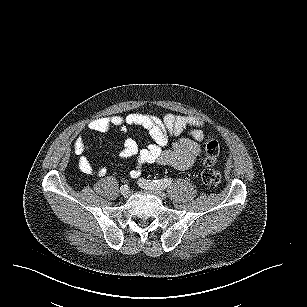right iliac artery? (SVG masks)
Here are the masks:
<instances>
[{"instance_id": "82829eb1", "label": "right iliac artery", "mask_w": 307, "mask_h": 307, "mask_svg": "<svg viewBox=\"0 0 307 307\" xmlns=\"http://www.w3.org/2000/svg\"><path fill=\"white\" fill-rule=\"evenodd\" d=\"M121 187H124V188H125V187H128V186H127V185H124V186H121ZM121 187H120V189H121Z\"/></svg>"}]
</instances>
